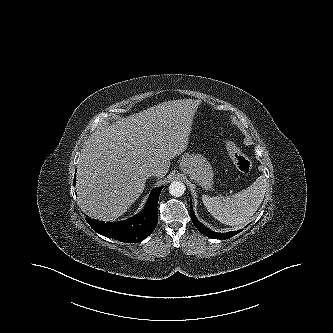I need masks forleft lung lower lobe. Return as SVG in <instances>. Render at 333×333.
<instances>
[{"mask_svg": "<svg viewBox=\"0 0 333 333\" xmlns=\"http://www.w3.org/2000/svg\"><path fill=\"white\" fill-rule=\"evenodd\" d=\"M191 219L193 224L195 225V227L205 236H208L210 238H214V239H229L231 237H233L234 235L238 234L240 231H235V232H229V233H217V232H213L211 231L209 228H207L206 226H204L202 223H200L198 221V219L196 218V216L194 215V211H193V207H192V202H191Z\"/></svg>", "mask_w": 333, "mask_h": 333, "instance_id": "left-lung-lower-lobe-1", "label": "left lung lower lobe"}]
</instances>
